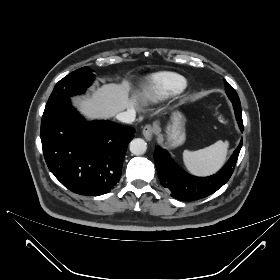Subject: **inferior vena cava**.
<instances>
[{
    "instance_id": "inferior-vena-cava-1",
    "label": "inferior vena cava",
    "mask_w": 280,
    "mask_h": 280,
    "mask_svg": "<svg viewBox=\"0 0 280 280\" xmlns=\"http://www.w3.org/2000/svg\"><path fill=\"white\" fill-rule=\"evenodd\" d=\"M136 112L132 109H129L124 112H120L117 114L116 118L124 123H132L135 121Z\"/></svg>"
}]
</instances>
